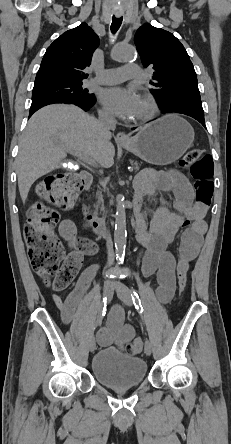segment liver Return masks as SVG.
Listing matches in <instances>:
<instances>
[{"label": "liver", "mask_w": 231, "mask_h": 444, "mask_svg": "<svg viewBox=\"0 0 231 444\" xmlns=\"http://www.w3.org/2000/svg\"><path fill=\"white\" fill-rule=\"evenodd\" d=\"M111 133L99 121L74 105L53 104L38 110L20 137L16 160L22 201L33 183L58 168L67 152L82 153L102 168L114 163Z\"/></svg>", "instance_id": "liver-1"}]
</instances>
